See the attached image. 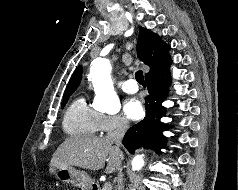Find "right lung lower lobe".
<instances>
[{
  "label": "right lung lower lobe",
  "mask_w": 238,
  "mask_h": 190,
  "mask_svg": "<svg viewBox=\"0 0 238 190\" xmlns=\"http://www.w3.org/2000/svg\"><path fill=\"white\" fill-rule=\"evenodd\" d=\"M170 63L159 72L145 78L149 91V96L146 98V117L128 129L122 141L131 153L144 146L160 154V149L165 144L162 131L166 126L160 119L165 115L162 102L166 99L167 88L170 84L169 79L165 78L170 71Z\"/></svg>",
  "instance_id": "98d812e1"
}]
</instances>
